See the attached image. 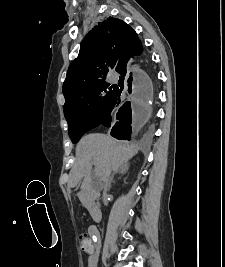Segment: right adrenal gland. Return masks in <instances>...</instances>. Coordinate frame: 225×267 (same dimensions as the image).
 I'll list each match as a JSON object with an SVG mask.
<instances>
[{"label": "right adrenal gland", "instance_id": "2a0ac1e0", "mask_svg": "<svg viewBox=\"0 0 225 267\" xmlns=\"http://www.w3.org/2000/svg\"><path fill=\"white\" fill-rule=\"evenodd\" d=\"M128 169H129V164L125 163L118 170L114 171V173L110 177V180L108 183V189H110V187H111V183L113 182V178H114L115 174H125L128 172Z\"/></svg>", "mask_w": 225, "mask_h": 267}]
</instances>
